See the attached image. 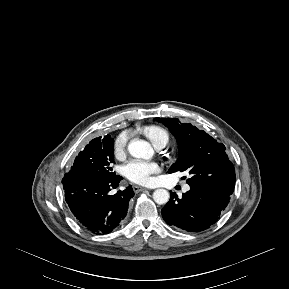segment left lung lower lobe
I'll return each mask as SVG.
<instances>
[{
  "instance_id": "0a47b994",
  "label": "left lung lower lobe",
  "mask_w": 289,
  "mask_h": 289,
  "mask_svg": "<svg viewBox=\"0 0 289 289\" xmlns=\"http://www.w3.org/2000/svg\"><path fill=\"white\" fill-rule=\"evenodd\" d=\"M229 200V196L221 193L190 186V190L184 193L182 198L171 193L170 200L161 213L168 225L188 232H199L218 220Z\"/></svg>"
}]
</instances>
